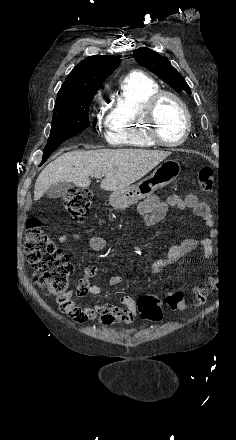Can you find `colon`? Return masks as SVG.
Returning <instances> with one entry per match:
<instances>
[{
	"mask_svg": "<svg viewBox=\"0 0 236 440\" xmlns=\"http://www.w3.org/2000/svg\"><path fill=\"white\" fill-rule=\"evenodd\" d=\"M212 169L203 166L199 170V186L203 191H211L213 188ZM92 194L87 189H70L63 196V205L71 218L81 222L87 216L91 205ZM25 252L28 263L36 270L35 282L50 295L56 297L61 309L72 301L69 290V276L73 266L67 255L57 246L54 240L41 228V222L37 218H31L27 222L25 234ZM225 276L222 273L217 276H205L202 282L205 285H220ZM209 287H197L193 292L192 305L203 306L209 294ZM166 304L171 311H185L189 308L182 291L170 292L166 296ZM137 308L144 320L159 322L163 317L160 300L152 295H143L137 300Z\"/></svg>",
	"mask_w": 236,
	"mask_h": 440,
	"instance_id": "5ec220e1",
	"label": "colon"
}]
</instances>
